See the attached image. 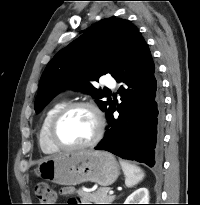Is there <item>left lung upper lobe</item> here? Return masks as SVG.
<instances>
[{"mask_svg":"<svg viewBox=\"0 0 200 205\" xmlns=\"http://www.w3.org/2000/svg\"><path fill=\"white\" fill-rule=\"evenodd\" d=\"M137 32L134 25L125 19L106 18L60 50L41 77L34 103L36 112H40L60 91L71 87L89 92L107 115L112 100L103 101L104 93L90 81H98L107 73L114 75Z\"/></svg>","mask_w":200,"mask_h":205,"instance_id":"1","label":"left lung upper lobe"}]
</instances>
